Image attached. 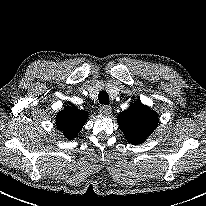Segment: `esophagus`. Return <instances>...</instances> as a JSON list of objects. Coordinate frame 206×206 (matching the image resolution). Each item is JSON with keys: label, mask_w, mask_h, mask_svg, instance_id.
<instances>
[{"label": "esophagus", "mask_w": 206, "mask_h": 206, "mask_svg": "<svg viewBox=\"0 0 206 206\" xmlns=\"http://www.w3.org/2000/svg\"><path fill=\"white\" fill-rule=\"evenodd\" d=\"M99 111H100V113H102L104 115H109V114H111L112 109L110 106L102 105V106H100Z\"/></svg>", "instance_id": "esophagus-1"}]
</instances>
